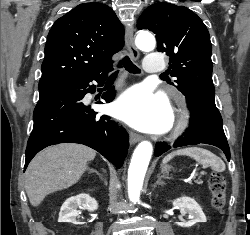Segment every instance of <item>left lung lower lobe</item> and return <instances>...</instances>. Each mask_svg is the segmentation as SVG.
<instances>
[{
    "label": "left lung lower lobe",
    "mask_w": 250,
    "mask_h": 235,
    "mask_svg": "<svg viewBox=\"0 0 250 235\" xmlns=\"http://www.w3.org/2000/svg\"><path fill=\"white\" fill-rule=\"evenodd\" d=\"M214 87H205L189 91L185 96L191 110V126L186 130L187 136L173 144V147L205 143L223 150L230 160V149L222 127V117L215 105ZM165 143H157L155 156L168 151Z\"/></svg>",
    "instance_id": "obj_1"
}]
</instances>
